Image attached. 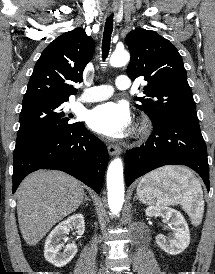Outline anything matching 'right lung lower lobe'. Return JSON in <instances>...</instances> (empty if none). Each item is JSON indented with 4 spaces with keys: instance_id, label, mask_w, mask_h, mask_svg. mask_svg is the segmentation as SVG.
Wrapping results in <instances>:
<instances>
[{
    "instance_id": "right-lung-lower-lobe-1",
    "label": "right lung lower lobe",
    "mask_w": 215,
    "mask_h": 274,
    "mask_svg": "<svg viewBox=\"0 0 215 274\" xmlns=\"http://www.w3.org/2000/svg\"><path fill=\"white\" fill-rule=\"evenodd\" d=\"M13 193L38 169L64 171L100 193L108 163L106 145L79 122L62 134L45 139L13 160Z\"/></svg>"
}]
</instances>
